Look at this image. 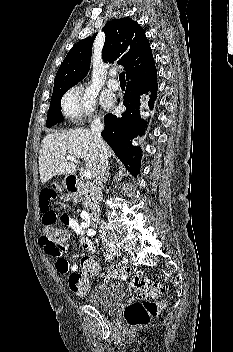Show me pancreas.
I'll return each mask as SVG.
<instances>
[{
  "instance_id": "obj_1",
  "label": "pancreas",
  "mask_w": 233,
  "mask_h": 352,
  "mask_svg": "<svg viewBox=\"0 0 233 352\" xmlns=\"http://www.w3.org/2000/svg\"><path fill=\"white\" fill-rule=\"evenodd\" d=\"M84 205H85V206H87V205H88V199H87V198L85 199V203H84Z\"/></svg>"
}]
</instances>
